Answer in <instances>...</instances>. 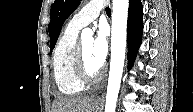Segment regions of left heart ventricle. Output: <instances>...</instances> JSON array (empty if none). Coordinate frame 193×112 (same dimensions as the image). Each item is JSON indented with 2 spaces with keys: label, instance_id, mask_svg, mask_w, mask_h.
I'll return each instance as SVG.
<instances>
[{
  "label": "left heart ventricle",
  "instance_id": "left-heart-ventricle-1",
  "mask_svg": "<svg viewBox=\"0 0 193 112\" xmlns=\"http://www.w3.org/2000/svg\"><path fill=\"white\" fill-rule=\"evenodd\" d=\"M81 45L83 49L86 68L90 74L94 75L101 69L102 66L99 65L93 57L92 53L93 40L85 39L81 41Z\"/></svg>",
  "mask_w": 193,
  "mask_h": 112
}]
</instances>
